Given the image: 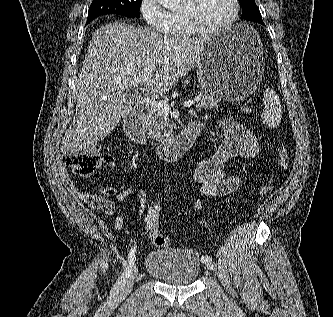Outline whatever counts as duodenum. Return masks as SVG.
I'll return each mask as SVG.
<instances>
[{"label": "duodenum", "instance_id": "410a0bca", "mask_svg": "<svg viewBox=\"0 0 333 317\" xmlns=\"http://www.w3.org/2000/svg\"><path fill=\"white\" fill-rule=\"evenodd\" d=\"M124 129L128 137L140 146L153 147L160 159L174 162L182 158L193 146L202 130L200 121H191L185 125L176 138L153 143L147 136L144 125V113L140 106L124 119Z\"/></svg>", "mask_w": 333, "mask_h": 317}]
</instances>
